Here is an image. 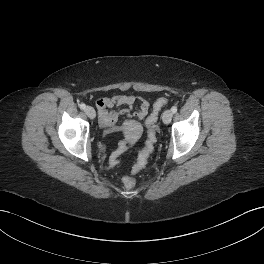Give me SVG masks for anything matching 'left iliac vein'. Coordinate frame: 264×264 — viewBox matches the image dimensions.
Masks as SVG:
<instances>
[{
  "label": "left iliac vein",
  "instance_id": "left-iliac-vein-1",
  "mask_svg": "<svg viewBox=\"0 0 264 264\" xmlns=\"http://www.w3.org/2000/svg\"><path fill=\"white\" fill-rule=\"evenodd\" d=\"M173 112L171 110H166L163 115L162 119L165 124H169L172 120Z\"/></svg>",
  "mask_w": 264,
  "mask_h": 264
}]
</instances>
